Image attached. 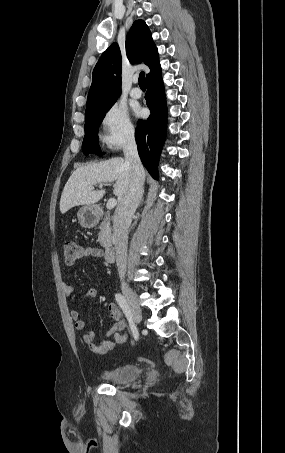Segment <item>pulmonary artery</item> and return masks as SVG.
<instances>
[{"instance_id":"obj_1","label":"pulmonary artery","mask_w":285,"mask_h":453,"mask_svg":"<svg viewBox=\"0 0 285 453\" xmlns=\"http://www.w3.org/2000/svg\"><path fill=\"white\" fill-rule=\"evenodd\" d=\"M134 86L130 90V95L133 98H140L142 96V91L141 89L136 85L138 83V78L133 79Z\"/></svg>"}]
</instances>
